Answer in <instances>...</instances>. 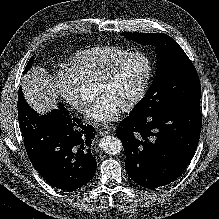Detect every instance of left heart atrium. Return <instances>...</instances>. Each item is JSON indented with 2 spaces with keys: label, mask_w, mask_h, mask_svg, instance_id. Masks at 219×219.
<instances>
[{
  "label": "left heart atrium",
  "mask_w": 219,
  "mask_h": 219,
  "mask_svg": "<svg viewBox=\"0 0 219 219\" xmlns=\"http://www.w3.org/2000/svg\"><path fill=\"white\" fill-rule=\"evenodd\" d=\"M120 107L106 96H99L87 112L88 119L96 122H110L114 120Z\"/></svg>",
  "instance_id": "left-heart-atrium-1"
}]
</instances>
